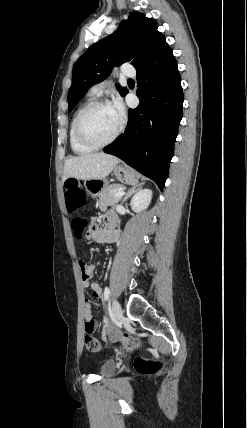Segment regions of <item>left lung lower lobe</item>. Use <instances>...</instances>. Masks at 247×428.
<instances>
[{"label":"left lung lower lobe","mask_w":247,"mask_h":428,"mask_svg":"<svg viewBox=\"0 0 247 428\" xmlns=\"http://www.w3.org/2000/svg\"><path fill=\"white\" fill-rule=\"evenodd\" d=\"M141 103L129 109L128 126L103 151L115 155L163 190L182 119L183 91L171 48L137 69Z\"/></svg>","instance_id":"left-lung-lower-lobe-1"}]
</instances>
